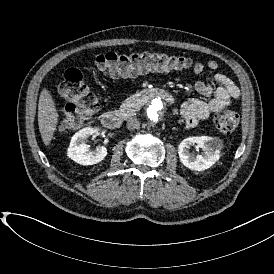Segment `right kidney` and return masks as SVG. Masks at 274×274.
<instances>
[{
	"mask_svg": "<svg viewBox=\"0 0 274 274\" xmlns=\"http://www.w3.org/2000/svg\"><path fill=\"white\" fill-rule=\"evenodd\" d=\"M92 135H100V129L85 127L76 132L67 150L68 157L81 165H94L101 162L107 155V149L105 146H97L95 150H91L86 141Z\"/></svg>",
	"mask_w": 274,
	"mask_h": 274,
	"instance_id": "obj_1",
	"label": "right kidney"
}]
</instances>
